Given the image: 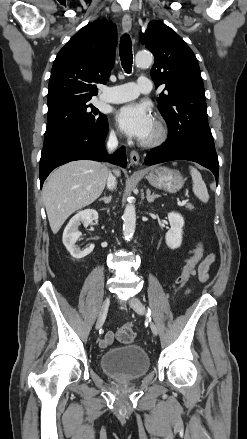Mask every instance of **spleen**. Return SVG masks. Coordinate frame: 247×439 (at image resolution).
Returning <instances> with one entry per match:
<instances>
[{
    "label": "spleen",
    "instance_id": "1",
    "mask_svg": "<svg viewBox=\"0 0 247 439\" xmlns=\"http://www.w3.org/2000/svg\"><path fill=\"white\" fill-rule=\"evenodd\" d=\"M173 165H176V163H173ZM190 174L193 181L192 189L195 196L204 203L208 202L209 194L200 172L196 168L190 166Z\"/></svg>",
    "mask_w": 247,
    "mask_h": 439
}]
</instances>
